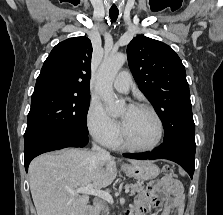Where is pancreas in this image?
Segmentation results:
<instances>
[{"mask_svg":"<svg viewBox=\"0 0 223 215\" xmlns=\"http://www.w3.org/2000/svg\"><path fill=\"white\" fill-rule=\"evenodd\" d=\"M125 187H131L130 195H135L144 189L143 184L126 183Z\"/></svg>","mask_w":223,"mask_h":215,"instance_id":"pancreas-1","label":"pancreas"}]
</instances>
